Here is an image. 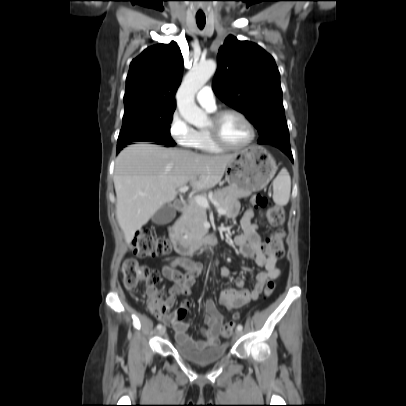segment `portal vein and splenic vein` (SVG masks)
I'll return each instance as SVG.
<instances>
[{
	"mask_svg": "<svg viewBox=\"0 0 406 406\" xmlns=\"http://www.w3.org/2000/svg\"><path fill=\"white\" fill-rule=\"evenodd\" d=\"M188 189H189V187L185 185V186L180 187L179 191L180 192H186ZM194 200L201 207H204V208H209L210 207L207 198L204 197V196H196ZM215 207H216L217 212L219 214H225L226 213V210L222 209L217 203H215Z\"/></svg>",
	"mask_w": 406,
	"mask_h": 406,
	"instance_id": "1",
	"label": "portal vein and splenic vein"
}]
</instances>
